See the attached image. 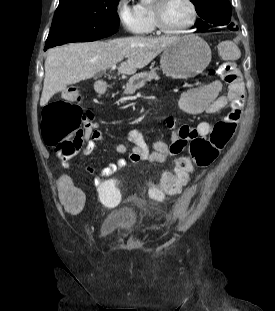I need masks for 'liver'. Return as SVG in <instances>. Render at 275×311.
Returning a JSON list of instances; mask_svg holds the SVG:
<instances>
[{
  "label": "liver",
  "instance_id": "obj_1",
  "mask_svg": "<svg viewBox=\"0 0 275 311\" xmlns=\"http://www.w3.org/2000/svg\"><path fill=\"white\" fill-rule=\"evenodd\" d=\"M177 37H126L108 42L74 43L51 49L45 60V77L40 105L45 106L68 85L90 79L116 67L118 72L134 74L147 66ZM127 58L123 62L124 58Z\"/></svg>",
  "mask_w": 275,
  "mask_h": 311
}]
</instances>
